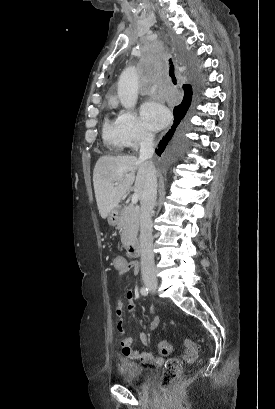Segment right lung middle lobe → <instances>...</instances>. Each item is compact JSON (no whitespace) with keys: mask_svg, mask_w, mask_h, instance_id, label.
I'll use <instances>...</instances> for the list:
<instances>
[{"mask_svg":"<svg viewBox=\"0 0 275 409\" xmlns=\"http://www.w3.org/2000/svg\"><path fill=\"white\" fill-rule=\"evenodd\" d=\"M174 50H182L184 45L182 43H174L172 45ZM194 58L199 56L197 51L192 53ZM192 97L186 102L180 104L174 109V124L166 133L163 139L158 144L156 153L162 155L167 160H153L151 166L153 169H162L163 173H171L172 166L175 165L176 158L184 154L188 145L187 133L189 128V114L188 109L191 105Z\"/></svg>","mask_w":275,"mask_h":409,"instance_id":"dd1d6c3e","label":"right lung middle lobe"}]
</instances>
